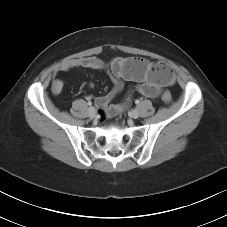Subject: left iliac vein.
Returning <instances> with one entry per match:
<instances>
[{
    "label": "left iliac vein",
    "instance_id": "1",
    "mask_svg": "<svg viewBox=\"0 0 227 227\" xmlns=\"http://www.w3.org/2000/svg\"><path fill=\"white\" fill-rule=\"evenodd\" d=\"M130 117L133 119H137L139 117V111L137 109H134L130 112Z\"/></svg>",
    "mask_w": 227,
    "mask_h": 227
}]
</instances>
